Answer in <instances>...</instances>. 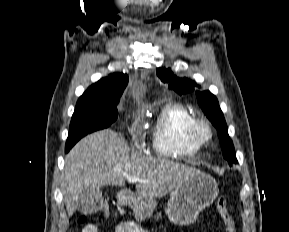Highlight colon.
I'll use <instances>...</instances> for the list:
<instances>
[{
    "label": "colon",
    "mask_w": 289,
    "mask_h": 232,
    "mask_svg": "<svg viewBox=\"0 0 289 232\" xmlns=\"http://www.w3.org/2000/svg\"><path fill=\"white\" fill-rule=\"evenodd\" d=\"M216 208L218 210V213L225 225L226 232H236V226L233 217L231 216L228 206H227V199L225 196L220 195L216 199ZM100 212L104 215L107 216L109 214V206L105 202L100 209ZM85 217L82 216L80 218V221H84Z\"/></svg>",
    "instance_id": "5ec220e1"
}]
</instances>
